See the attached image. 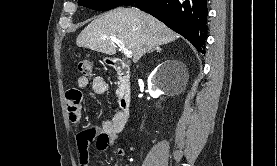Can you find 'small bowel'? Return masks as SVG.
Segmentation results:
<instances>
[{"label":"small bowel","instance_id":"obj_1","mask_svg":"<svg viewBox=\"0 0 277 166\" xmlns=\"http://www.w3.org/2000/svg\"><path fill=\"white\" fill-rule=\"evenodd\" d=\"M91 86L95 94H104L107 91L106 80L102 76H95L92 80L87 77L78 79V88L70 89L66 92L67 110L70 121L79 123L81 114V103L83 99L82 89ZM125 124L119 112H116L110 120H105L99 127H87L76 136V145L79 158V166H89V145L95 140L99 151H105L110 145L119 140V134L124 129ZM117 157H123L125 151L122 148L115 150Z\"/></svg>","mask_w":277,"mask_h":166}]
</instances>
